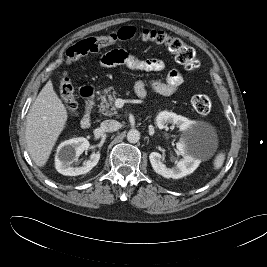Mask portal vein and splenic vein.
Here are the masks:
<instances>
[{"label": "portal vein and splenic vein", "mask_w": 267, "mask_h": 267, "mask_svg": "<svg viewBox=\"0 0 267 267\" xmlns=\"http://www.w3.org/2000/svg\"><path fill=\"white\" fill-rule=\"evenodd\" d=\"M123 100L122 99H117L115 101V106L118 107V108H121L123 106Z\"/></svg>", "instance_id": "1"}]
</instances>
